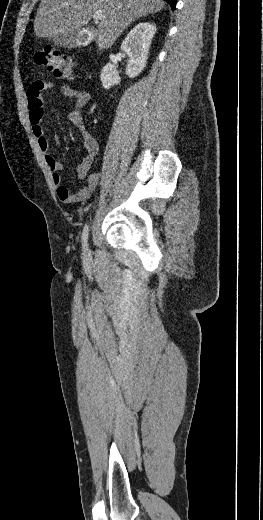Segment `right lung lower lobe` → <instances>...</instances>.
<instances>
[{
    "label": "right lung lower lobe",
    "instance_id": "right-lung-lower-lobe-1",
    "mask_svg": "<svg viewBox=\"0 0 263 520\" xmlns=\"http://www.w3.org/2000/svg\"><path fill=\"white\" fill-rule=\"evenodd\" d=\"M164 1H166V2H168L170 4L172 10L175 9L177 0H164Z\"/></svg>",
    "mask_w": 263,
    "mask_h": 520
}]
</instances>
